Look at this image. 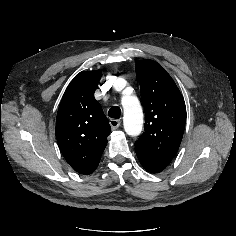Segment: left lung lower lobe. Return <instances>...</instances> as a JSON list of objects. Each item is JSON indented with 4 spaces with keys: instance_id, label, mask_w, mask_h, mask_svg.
I'll return each mask as SVG.
<instances>
[{
    "instance_id": "0a47b994",
    "label": "left lung lower lobe",
    "mask_w": 236,
    "mask_h": 236,
    "mask_svg": "<svg viewBox=\"0 0 236 236\" xmlns=\"http://www.w3.org/2000/svg\"><path fill=\"white\" fill-rule=\"evenodd\" d=\"M137 157L142 166L151 173H159L163 171L169 164V162L160 160L158 158L149 156L143 152L136 151Z\"/></svg>"
}]
</instances>
